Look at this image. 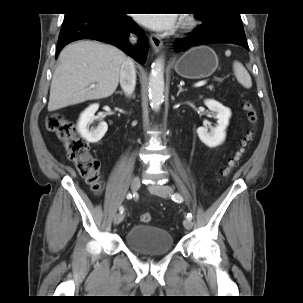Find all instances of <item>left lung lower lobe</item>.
I'll return each instance as SVG.
<instances>
[{
  "instance_id": "left-lung-lower-lobe-1",
  "label": "left lung lower lobe",
  "mask_w": 303,
  "mask_h": 303,
  "mask_svg": "<svg viewBox=\"0 0 303 303\" xmlns=\"http://www.w3.org/2000/svg\"><path fill=\"white\" fill-rule=\"evenodd\" d=\"M193 33V36L174 41L176 52H182L192 46L212 43H233L249 50L243 28H208L203 24L197 27Z\"/></svg>"
}]
</instances>
